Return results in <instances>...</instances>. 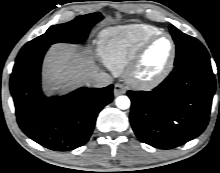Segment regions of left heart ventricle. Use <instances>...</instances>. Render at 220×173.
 <instances>
[{"label": "left heart ventricle", "instance_id": "obj_1", "mask_svg": "<svg viewBox=\"0 0 220 173\" xmlns=\"http://www.w3.org/2000/svg\"><path fill=\"white\" fill-rule=\"evenodd\" d=\"M170 48V41L167 37H161L155 41L146 51L138 75L142 78H149L158 74L168 62Z\"/></svg>", "mask_w": 220, "mask_h": 173}]
</instances>
